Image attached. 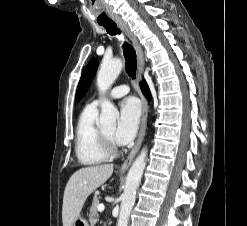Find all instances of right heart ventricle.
<instances>
[{
	"instance_id": "obj_1",
	"label": "right heart ventricle",
	"mask_w": 247,
	"mask_h": 226,
	"mask_svg": "<svg viewBox=\"0 0 247 226\" xmlns=\"http://www.w3.org/2000/svg\"><path fill=\"white\" fill-rule=\"evenodd\" d=\"M97 117L98 109L87 105L78 120L75 152L82 165H96L108 158L100 147Z\"/></svg>"
}]
</instances>
